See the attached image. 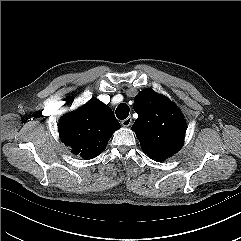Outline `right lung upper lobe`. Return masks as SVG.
<instances>
[{
    "instance_id": "cb5924a9",
    "label": "right lung upper lobe",
    "mask_w": 241,
    "mask_h": 241,
    "mask_svg": "<svg viewBox=\"0 0 241 241\" xmlns=\"http://www.w3.org/2000/svg\"><path fill=\"white\" fill-rule=\"evenodd\" d=\"M118 128L120 124L112 110L96 99L63 116L58 126L63 143L87 160L105 150L109 138Z\"/></svg>"
}]
</instances>
